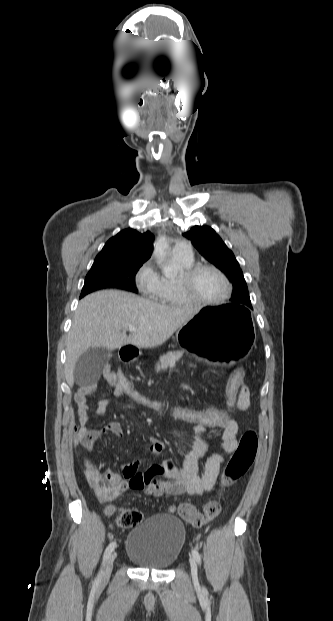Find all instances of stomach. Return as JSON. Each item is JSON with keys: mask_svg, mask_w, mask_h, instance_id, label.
Wrapping results in <instances>:
<instances>
[{"mask_svg": "<svg viewBox=\"0 0 333 621\" xmlns=\"http://www.w3.org/2000/svg\"><path fill=\"white\" fill-rule=\"evenodd\" d=\"M251 312L241 306H207L180 327L176 340L202 361H215L218 369L228 364L244 367L253 348Z\"/></svg>", "mask_w": 333, "mask_h": 621, "instance_id": "obj_1", "label": "stomach"}]
</instances>
